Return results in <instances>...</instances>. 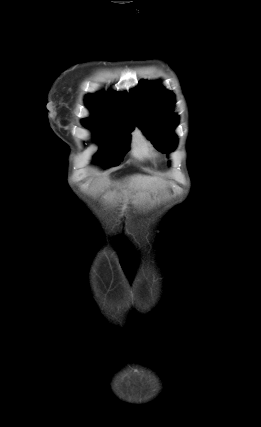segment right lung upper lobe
I'll list each match as a JSON object with an SVG mask.
<instances>
[{
    "label": "right lung upper lobe",
    "instance_id": "right-lung-upper-lobe-1",
    "mask_svg": "<svg viewBox=\"0 0 261 427\" xmlns=\"http://www.w3.org/2000/svg\"><path fill=\"white\" fill-rule=\"evenodd\" d=\"M86 105L92 111L88 120L134 123L127 93L109 91L88 95Z\"/></svg>",
    "mask_w": 261,
    "mask_h": 427
}]
</instances>
